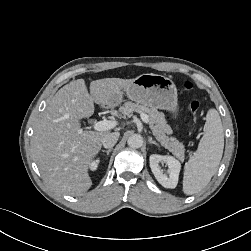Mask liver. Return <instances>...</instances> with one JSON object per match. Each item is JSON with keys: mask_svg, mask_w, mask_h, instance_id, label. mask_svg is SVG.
I'll use <instances>...</instances> for the list:
<instances>
[{"mask_svg": "<svg viewBox=\"0 0 251 251\" xmlns=\"http://www.w3.org/2000/svg\"><path fill=\"white\" fill-rule=\"evenodd\" d=\"M133 80H95L89 94L84 79H78L63 86L49 101L34 125L31 146L44 180L54 190L75 196L91 187L88 168L109 131H84L80 119L93 115L94 103L108 106L113 94Z\"/></svg>", "mask_w": 251, "mask_h": 251, "instance_id": "1", "label": "liver"}]
</instances>
